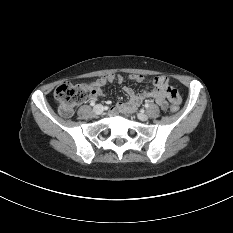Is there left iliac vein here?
Masks as SVG:
<instances>
[{"label":"left iliac vein","mask_w":233,"mask_h":233,"mask_svg":"<svg viewBox=\"0 0 233 233\" xmlns=\"http://www.w3.org/2000/svg\"><path fill=\"white\" fill-rule=\"evenodd\" d=\"M137 117L141 121H147L149 119L148 115H146L145 113H138Z\"/></svg>","instance_id":"1"}]
</instances>
